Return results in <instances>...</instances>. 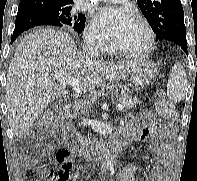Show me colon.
I'll use <instances>...</instances> for the list:
<instances>
[{
    "mask_svg": "<svg viewBox=\"0 0 197 181\" xmlns=\"http://www.w3.org/2000/svg\"><path fill=\"white\" fill-rule=\"evenodd\" d=\"M156 107L159 115L166 121L171 124L177 121L178 114L174 105L163 94L158 97ZM53 126L54 121L49 117H45L35 127L34 134L38 137L47 136ZM55 162L59 165V169L52 172L47 169L46 160L42 154L30 157L31 167L28 181H69L73 170L71 153L66 149L59 150L55 155Z\"/></svg>",
    "mask_w": 197,
    "mask_h": 181,
    "instance_id": "obj_1",
    "label": "colon"
}]
</instances>
